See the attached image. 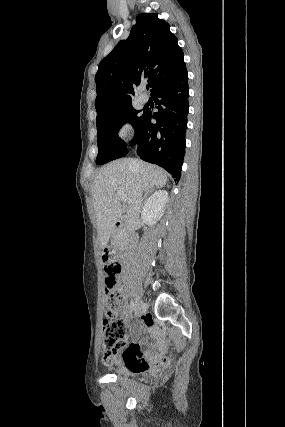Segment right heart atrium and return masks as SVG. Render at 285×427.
Returning <instances> with one entry per match:
<instances>
[{
    "label": "right heart atrium",
    "instance_id": "right-heart-atrium-1",
    "mask_svg": "<svg viewBox=\"0 0 285 427\" xmlns=\"http://www.w3.org/2000/svg\"><path fill=\"white\" fill-rule=\"evenodd\" d=\"M130 131V127L128 124H123L119 130V135L121 137H126Z\"/></svg>",
    "mask_w": 285,
    "mask_h": 427
}]
</instances>
